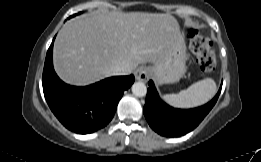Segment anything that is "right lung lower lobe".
<instances>
[{"label":"right lung lower lobe","mask_w":261,"mask_h":162,"mask_svg":"<svg viewBox=\"0 0 261 162\" xmlns=\"http://www.w3.org/2000/svg\"><path fill=\"white\" fill-rule=\"evenodd\" d=\"M53 43L54 40L46 55L42 78L51 111L67 129L78 134L104 128L113 118L123 92L133 84L134 76L110 77L86 87L65 84L53 68Z\"/></svg>","instance_id":"98d812e1"}]
</instances>
